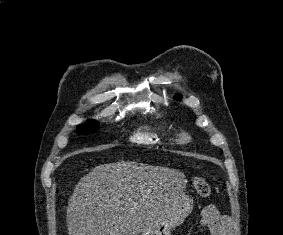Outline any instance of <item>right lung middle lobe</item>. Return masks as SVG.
Here are the masks:
<instances>
[{
  "instance_id": "dd1d6c3e",
  "label": "right lung middle lobe",
  "mask_w": 283,
  "mask_h": 235,
  "mask_svg": "<svg viewBox=\"0 0 283 235\" xmlns=\"http://www.w3.org/2000/svg\"><path fill=\"white\" fill-rule=\"evenodd\" d=\"M98 128V123L89 121L87 124H82L78 126V132L80 133H90L96 131Z\"/></svg>"
}]
</instances>
